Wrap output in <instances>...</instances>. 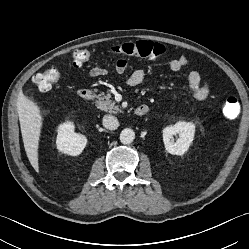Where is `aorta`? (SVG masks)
Masks as SVG:
<instances>
[{
	"label": "aorta",
	"mask_w": 249,
	"mask_h": 249,
	"mask_svg": "<svg viewBox=\"0 0 249 249\" xmlns=\"http://www.w3.org/2000/svg\"><path fill=\"white\" fill-rule=\"evenodd\" d=\"M135 139V132L130 128H125L120 133V142L122 144H130Z\"/></svg>",
	"instance_id": "aorta-1"
}]
</instances>
